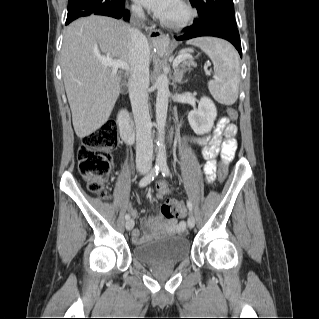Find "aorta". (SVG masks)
<instances>
[{"instance_id":"aorta-1","label":"aorta","mask_w":319,"mask_h":319,"mask_svg":"<svg viewBox=\"0 0 319 319\" xmlns=\"http://www.w3.org/2000/svg\"><path fill=\"white\" fill-rule=\"evenodd\" d=\"M157 98H156V127L158 131L157 165L166 164L164 131L168 110L169 79L166 74H161L156 80Z\"/></svg>"}]
</instances>
